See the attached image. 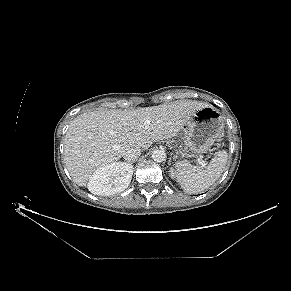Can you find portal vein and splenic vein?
Wrapping results in <instances>:
<instances>
[{"label":"portal vein and splenic vein","instance_id":"18ae733b","mask_svg":"<svg viewBox=\"0 0 291 291\" xmlns=\"http://www.w3.org/2000/svg\"><path fill=\"white\" fill-rule=\"evenodd\" d=\"M197 162L202 167L206 166V162L202 158H197Z\"/></svg>","mask_w":291,"mask_h":291}]
</instances>
